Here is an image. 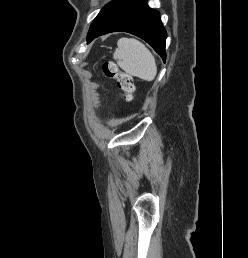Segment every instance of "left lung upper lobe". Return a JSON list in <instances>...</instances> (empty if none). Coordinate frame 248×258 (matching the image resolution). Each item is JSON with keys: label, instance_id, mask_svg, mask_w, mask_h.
Wrapping results in <instances>:
<instances>
[{"label": "left lung upper lobe", "instance_id": "5c2ea615", "mask_svg": "<svg viewBox=\"0 0 248 258\" xmlns=\"http://www.w3.org/2000/svg\"><path fill=\"white\" fill-rule=\"evenodd\" d=\"M128 1L129 0H113L109 2L106 6L102 8L100 13L93 20L90 29L101 23L104 19H106L108 16H110L113 12L122 7Z\"/></svg>", "mask_w": 248, "mask_h": 258}]
</instances>
